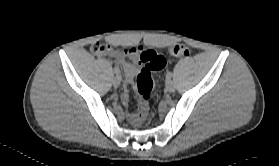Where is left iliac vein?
<instances>
[{"label": "left iliac vein", "mask_w": 279, "mask_h": 166, "mask_svg": "<svg viewBox=\"0 0 279 166\" xmlns=\"http://www.w3.org/2000/svg\"><path fill=\"white\" fill-rule=\"evenodd\" d=\"M166 91L172 93L175 91V85L171 80L166 81Z\"/></svg>", "instance_id": "4c4485c4"}]
</instances>
